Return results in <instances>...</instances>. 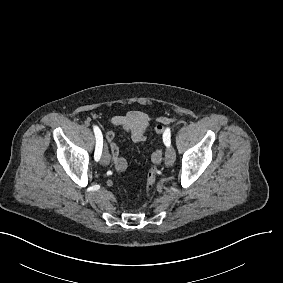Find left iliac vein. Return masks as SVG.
Listing matches in <instances>:
<instances>
[{"label":"left iliac vein","instance_id":"obj_1","mask_svg":"<svg viewBox=\"0 0 283 283\" xmlns=\"http://www.w3.org/2000/svg\"><path fill=\"white\" fill-rule=\"evenodd\" d=\"M176 160V153L173 148H167L165 152V164L167 166H172Z\"/></svg>","mask_w":283,"mask_h":283}]
</instances>
